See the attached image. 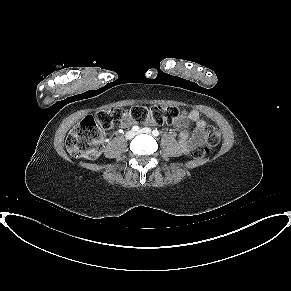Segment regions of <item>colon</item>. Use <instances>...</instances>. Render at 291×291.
Listing matches in <instances>:
<instances>
[{
	"instance_id": "obj_1",
	"label": "colon",
	"mask_w": 291,
	"mask_h": 291,
	"mask_svg": "<svg viewBox=\"0 0 291 291\" xmlns=\"http://www.w3.org/2000/svg\"><path fill=\"white\" fill-rule=\"evenodd\" d=\"M177 107L135 106L130 110L122 108L104 109L84 117L68 134L67 150L77 158L93 159L101 151V131L119 125L126 117L137 123H171L180 117ZM205 145L194 147L190 156L193 159L203 158L208 149L215 147L220 141V132L213 125L204 130Z\"/></svg>"
}]
</instances>
